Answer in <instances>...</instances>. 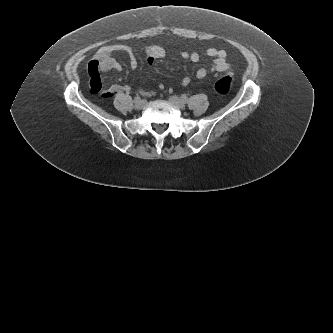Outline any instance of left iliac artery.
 Returning <instances> with one entry per match:
<instances>
[{"mask_svg": "<svg viewBox=\"0 0 333 333\" xmlns=\"http://www.w3.org/2000/svg\"><path fill=\"white\" fill-rule=\"evenodd\" d=\"M181 98L183 99V100H187V96L185 95V94H183L182 96H181Z\"/></svg>", "mask_w": 333, "mask_h": 333, "instance_id": "1", "label": "left iliac artery"}]
</instances>
